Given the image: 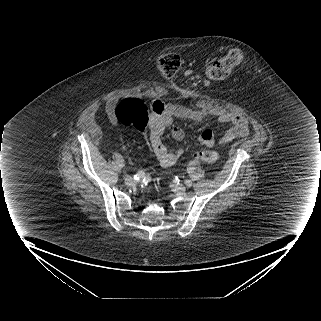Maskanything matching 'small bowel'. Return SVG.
<instances>
[{"label":"small bowel","instance_id":"obj_1","mask_svg":"<svg viewBox=\"0 0 321 321\" xmlns=\"http://www.w3.org/2000/svg\"><path fill=\"white\" fill-rule=\"evenodd\" d=\"M115 99L107 102L106 108L112 123H116L114 108ZM207 112L204 109H193L187 106L168 104L161 100H154L150 104V117L148 122V134L150 138L151 149L163 167L173 166L181 157L185 149L170 150L163 142V133L165 129L172 125L174 119H186L193 122H201L206 117ZM216 119L219 123L230 124L231 127L219 138H216L213 131L206 129L200 137L199 142L206 146L218 144H229L235 139L245 136L249 132L246 119L236 113L219 111L216 113ZM174 140L184 139L185 132L180 127H174L171 131Z\"/></svg>","mask_w":321,"mask_h":321}]
</instances>
